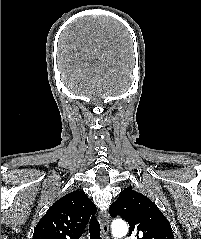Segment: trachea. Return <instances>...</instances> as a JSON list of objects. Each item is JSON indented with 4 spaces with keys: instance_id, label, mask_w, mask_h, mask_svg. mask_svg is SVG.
Instances as JSON below:
<instances>
[{
    "instance_id": "trachea-1",
    "label": "trachea",
    "mask_w": 201,
    "mask_h": 239,
    "mask_svg": "<svg viewBox=\"0 0 201 239\" xmlns=\"http://www.w3.org/2000/svg\"><path fill=\"white\" fill-rule=\"evenodd\" d=\"M100 223L96 217H92L89 224L90 239H101Z\"/></svg>"
}]
</instances>
